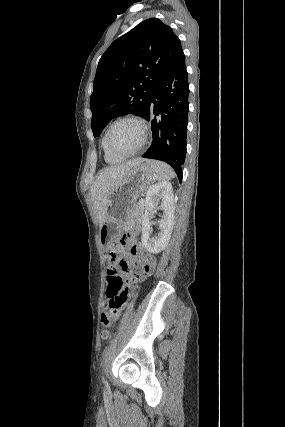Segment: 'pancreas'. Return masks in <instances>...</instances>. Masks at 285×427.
<instances>
[{"instance_id":"pancreas-1","label":"pancreas","mask_w":285,"mask_h":427,"mask_svg":"<svg viewBox=\"0 0 285 427\" xmlns=\"http://www.w3.org/2000/svg\"><path fill=\"white\" fill-rule=\"evenodd\" d=\"M141 212H142V208H141V206L136 207V204H135V207H134V210H133V213H132V216H131V218H130V219H134V218H136L138 215H140V214H141Z\"/></svg>"}]
</instances>
